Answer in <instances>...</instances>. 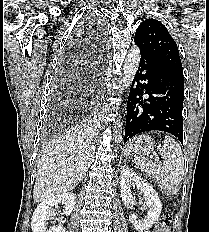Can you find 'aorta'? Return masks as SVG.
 <instances>
[{
    "instance_id": "aorta-1",
    "label": "aorta",
    "mask_w": 209,
    "mask_h": 232,
    "mask_svg": "<svg viewBox=\"0 0 209 232\" xmlns=\"http://www.w3.org/2000/svg\"><path fill=\"white\" fill-rule=\"evenodd\" d=\"M140 63V49L137 46H132L129 50L125 63L123 65V75L121 83L123 87H129L134 79ZM122 140L121 123L117 124V129L114 135V143H120Z\"/></svg>"
}]
</instances>
